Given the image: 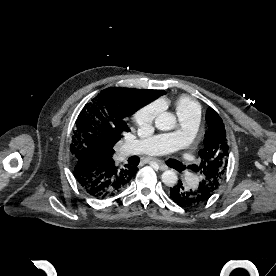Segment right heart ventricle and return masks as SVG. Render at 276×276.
Returning <instances> with one entry per match:
<instances>
[{
	"label": "right heart ventricle",
	"instance_id": "1",
	"mask_svg": "<svg viewBox=\"0 0 276 276\" xmlns=\"http://www.w3.org/2000/svg\"><path fill=\"white\" fill-rule=\"evenodd\" d=\"M175 110L178 114L179 117L181 116H185V115H195V116H199L200 115V105L187 97H181L178 98L175 101Z\"/></svg>",
	"mask_w": 276,
	"mask_h": 276
}]
</instances>
